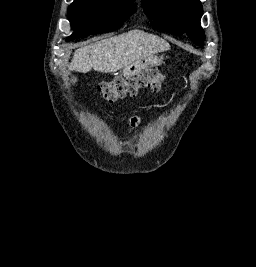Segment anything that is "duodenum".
<instances>
[{
    "label": "duodenum",
    "instance_id": "obj_1",
    "mask_svg": "<svg viewBox=\"0 0 256 267\" xmlns=\"http://www.w3.org/2000/svg\"><path fill=\"white\" fill-rule=\"evenodd\" d=\"M135 73H148V68H141L140 66L124 67V79H133Z\"/></svg>",
    "mask_w": 256,
    "mask_h": 267
}]
</instances>
